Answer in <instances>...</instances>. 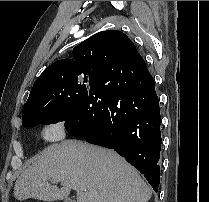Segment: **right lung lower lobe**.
<instances>
[{
    "label": "right lung lower lobe",
    "mask_w": 209,
    "mask_h": 202,
    "mask_svg": "<svg viewBox=\"0 0 209 202\" xmlns=\"http://www.w3.org/2000/svg\"><path fill=\"white\" fill-rule=\"evenodd\" d=\"M161 116L155 82L142 58L126 72L97 78L80 112L65 122L67 132L86 142L114 149L148 180L160 183Z\"/></svg>",
    "instance_id": "obj_1"
}]
</instances>
